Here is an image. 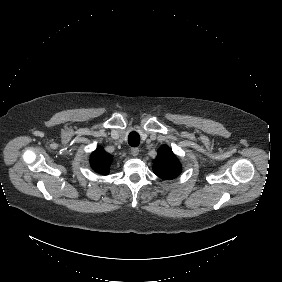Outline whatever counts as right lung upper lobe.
Here are the masks:
<instances>
[{
	"instance_id": "1",
	"label": "right lung upper lobe",
	"mask_w": 282,
	"mask_h": 282,
	"mask_svg": "<svg viewBox=\"0 0 282 282\" xmlns=\"http://www.w3.org/2000/svg\"><path fill=\"white\" fill-rule=\"evenodd\" d=\"M112 156L107 154L102 147L97 148L90 157L92 169L103 175L109 174Z\"/></svg>"
}]
</instances>
